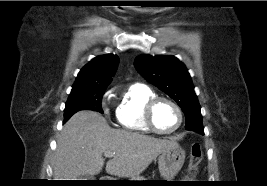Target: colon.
<instances>
[{
	"label": "colon",
	"mask_w": 267,
	"mask_h": 186,
	"mask_svg": "<svg viewBox=\"0 0 267 186\" xmlns=\"http://www.w3.org/2000/svg\"><path fill=\"white\" fill-rule=\"evenodd\" d=\"M203 158V152L199 143H194L190 149V156L187 167V178L193 179L197 173L198 166Z\"/></svg>",
	"instance_id": "5ec220e1"
}]
</instances>
